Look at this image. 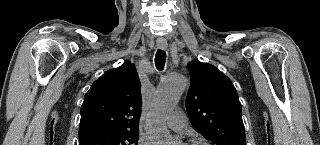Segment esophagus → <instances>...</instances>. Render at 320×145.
Returning a JSON list of instances; mask_svg holds the SVG:
<instances>
[{"label":"esophagus","instance_id":"34e87169","mask_svg":"<svg viewBox=\"0 0 320 145\" xmlns=\"http://www.w3.org/2000/svg\"><path fill=\"white\" fill-rule=\"evenodd\" d=\"M156 43L160 49H166L168 46L167 41L163 38H158Z\"/></svg>","mask_w":320,"mask_h":145}]
</instances>
